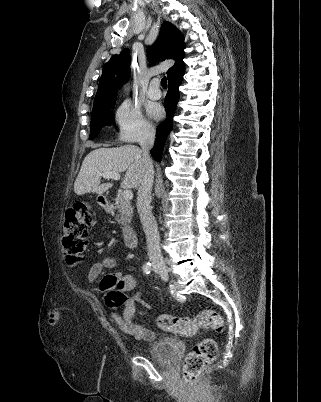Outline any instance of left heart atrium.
Returning a JSON list of instances; mask_svg holds the SVG:
<instances>
[{"mask_svg": "<svg viewBox=\"0 0 321 402\" xmlns=\"http://www.w3.org/2000/svg\"><path fill=\"white\" fill-rule=\"evenodd\" d=\"M148 113L151 118L159 119L162 116L163 110L159 105H153L149 108Z\"/></svg>", "mask_w": 321, "mask_h": 402, "instance_id": "obj_1", "label": "left heart atrium"}]
</instances>
